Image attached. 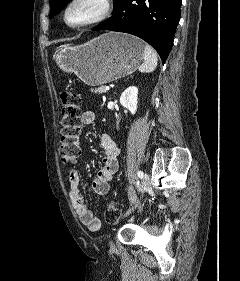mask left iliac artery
Wrapping results in <instances>:
<instances>
[{"label":"left iliac artery","mask_w":240,"mask_h":281,"mask_svg":"<svg viewBox=\"0 0 240 281\" xmlns=\"http://www.w3.org/2000/svg\"><path fill=\"white\" fill-rule=\"evenodd\" d=\"M137 175H138L139 178H142L143 177V172L142 171H138Z\"/></svg>","instance_id":"obj_1"}]
</instances>
